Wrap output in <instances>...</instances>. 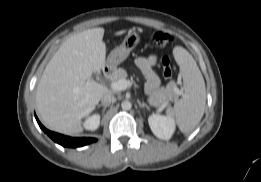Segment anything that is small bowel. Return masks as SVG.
I'll return each instance as SVG.
<instances>
[{
	"label": "small bowel",
	"instance_id": "c3829d8e",
	"mask_svg": "<svg viewBox=\"0 0 261 182\" xmlns=\"http://www.w3.org/2000/svg\"><path fill=\"white\" fill-rule=\"evenodd\" d=\"M157 61V55L138 57L135 60L137 67L141 70L147 80L145 91L148 95H154L160 85V80L153 69L157 64Z\"/></svg>",
	"mask_w": 261,
	"mask_h": 182
}]
</instances>
